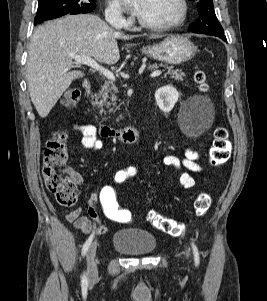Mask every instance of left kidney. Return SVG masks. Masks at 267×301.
Wrapping results in <instances>:
<instances>
[{
	"label": "left kidney",
	"mask_w": 267,
	"mask_h": 301,
	"mask_svg": "<svg viewBox=\"0 0 267 301\" xmlns=\"http://www.w3.org/2000/svg\"><path fill=\"white\" fill-rule=\"evenodd\" d=\"M179 96V92L170 85L163 86L155 92L156 103L165 113L170 112L173 109Z\"/></svg>",
	"instance_id": "left-kidney-1"
}]
</instances>
